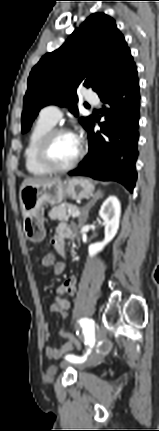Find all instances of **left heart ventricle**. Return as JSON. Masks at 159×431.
I'll return each mask as SVG.
<instances>
[{
  "instance_id": "1",
  "label": "left heart ventricle",
  "mask_w": 159,
  "mask_h": 431,
  "mask_svg": "<svg viewBox=\"0 0 159 431\" xmlns=\"http://www.w3.org/2000/svg\"><path fill=\"white\" fill-rule=\"evenodd\" d=\"M78 151L79 145L72 134L63 133L54 139L50 148V156L55 164L64 166L74 160Z\"/></svg>"
}]
</instances>
